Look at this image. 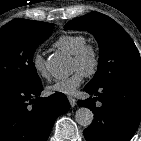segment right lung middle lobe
I'll return each instance as SVG.
<instances>
[{"label":"right lung middle lobe","mask_w":141,"mask_h":141,"mask_svg":"<svg viewBox=\"0 0 141 141\" xmlns=\"http://www.w3.org/2000/svg\"><path fill=\"white\" fill-rule=\"evenodd\" d=\"M53 24L15 19L0 28V84L40 83L32 62L35 49L47 39Z\"/></svg>","instance_id":"right-lung-middle-lobe-1"}]
</instances>
